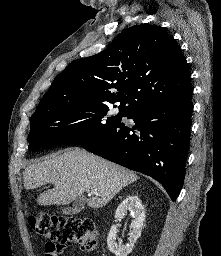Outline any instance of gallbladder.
<instances>
[{
    "label": "gallbladder",
    "instance_id": "1",
    "mask_svg": "<svg viewBox=\"0 0 221 256\" xmlns=\"http://www.w3.org/2000/svg\"><path fill=\"white\" fill-rule=\"evenodd\" d=\"M85 203H86V198L84 196H80L74 201L72 207L65 206L61 208V212L66 215L80 213L84 209Z\"/></svg>",
    "mask_w": 221,
    "mask_h": 256
}]
</instances>
